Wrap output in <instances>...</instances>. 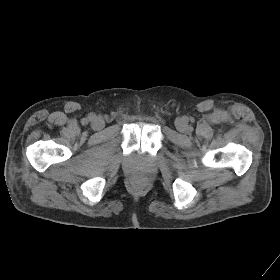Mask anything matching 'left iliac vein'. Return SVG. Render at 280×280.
<instances>
[{
  "instance_id": "left-iliac-vein-1",
  "label": "left iliac vein",
  "mask_w": 280,
  "mask_h": 280,
  "mask_svg": "<svg viewBox=\"0 0 280 280\" xmlns=\"http://www.w3.org/2000/svg\"><path fill=\"white\" fill-rule=\"evenodd\" d=\"M175 126H176L177 130L182 132V133L186 132L188 130L187 121L183 118L176 119Z\"/></svg>"
}]
</instances>
